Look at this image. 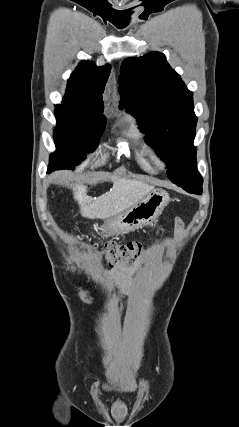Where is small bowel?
<instances>
[{
	"instance_id": "1",
	"label": "small bowel",
	"mask_w": 239,
	"mask_h": 427,
	"mask_svg": "<svg viewBox=\"0 0 239 427\" xmlns=\"http://www.w3.org/2000/svg\"><path fill=\"white\" fill-rule=\"evenodd\" d=\"M176 225L180 226L181 222L178 220L176 221ZM145 261H139L135 263L133 266H117L112 270V275L115 276L120 282L123 284H128L132 278V276L140 270V268L144 265Z\"/></svg>"
}]
</instances>
